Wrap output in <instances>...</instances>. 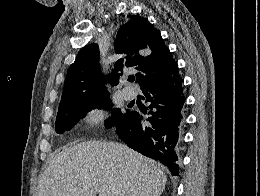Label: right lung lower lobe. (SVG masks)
I'll return each instance as SVG.
<instances>
[{
	"mask_svg": "<svg viewBox=\"0 0 260 196\" xmlns=\"http://www.w3.org/2000/svg\"><path fill=\"white\" fill-rule=\"evenodd\" d=\"M183 82L177 69L170 76L145 85L141 89L145 101L150 102L147 116L130 111L129 116L116 125V133L123 142L141 154L159 160L173 176H177L179 170L185 102Z\"/></svg>",
	"mask_w": 260,
	"mask_h": 196,
	"instance_id": "obj_1",
	"label": "right lung lower lobe"
}]
</instances>
